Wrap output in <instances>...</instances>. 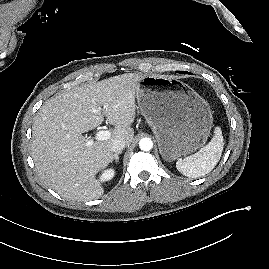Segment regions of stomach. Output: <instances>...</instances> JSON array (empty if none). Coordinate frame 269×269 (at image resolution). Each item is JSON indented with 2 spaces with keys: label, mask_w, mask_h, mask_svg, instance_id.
<instances>
[{
  "label": "stomach",
  "mask_w": 269,
  "mask_h": 269,
  "mask_svg": "<svg viewBox=\"0 0 269 269\" xmlns=\"http://www.w3.org/2000/svg\"><path fill=\"white\" fill-rule=\"evenodd\" d=\"M138 107L167 161H174L201 147L213 123L208 103L177 79L144 76L137 85Z\"/></svg>",
  "instance_id": "1"
}]
</instances>
